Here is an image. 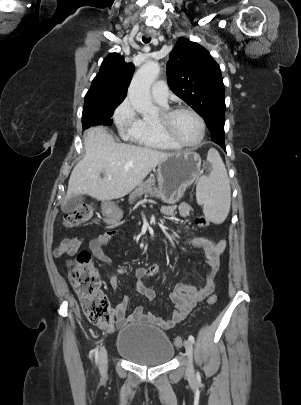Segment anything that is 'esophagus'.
<instances>
[{
  "label": "esophagus",
  "instance_id": "1",
  "mask_svg": "<svg viewBox=\"0 0 301 405\" xmlns=\"http://www.w3.org/2000/svg\"><path fill=\"white\" fill-rule=\"evenodd\" d=\"M156 35H157V34H156L155 31H151V32L148 33V36L155 37Z\"/></svg>",
  "mask_w": 301,
  "mask_h": 405
}]
</instances>
